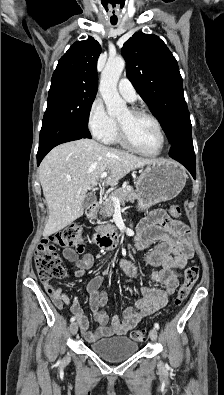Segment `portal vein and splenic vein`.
<instances>
[{"mask_svg":"<svg viewBox=\"0 0 224 395\" xmlns=\"http://www.w3.org/2000/svg\"><path fill=\"white\" fill-rule=\"evenodd\" d=\"M107 177V172H103L100 176V179H105ZM112 201L115 205V207L120 206V200L117 197H112Z\"/></svg>","mask_w":224,"mask_h":395,"instance_id":"1","label":"portal vein and splenic vein"}]
</instances>
